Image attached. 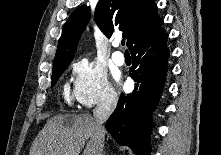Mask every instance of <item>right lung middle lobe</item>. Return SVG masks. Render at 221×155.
I'll return each instance as SVG.
<instances>
[{"instance_id":"obj_1","label":"right lung middle lobe","mask_w":221,"mask_h":155,"mask_svg":"<svg viewBox=\"0 0 221 155\" xmlns=\"http://www.w3.org/2000/svg\"><path fill=\"white\" fill-rule=\"evenodd\" d=\"M69 64L67 65H63V66H60V67H57L55 69H53V72H52V82H51V86L53 87L58 78L61 76V74L64 72V70L67 68Z\"/></svg>"}]
</instances>
